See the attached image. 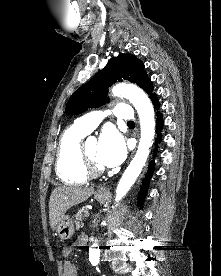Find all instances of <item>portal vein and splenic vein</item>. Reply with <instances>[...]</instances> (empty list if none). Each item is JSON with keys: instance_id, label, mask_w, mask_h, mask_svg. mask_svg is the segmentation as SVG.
<instances>
[{"instance_id": "18ae733b", "label": "portal vein and splenic vein", "mask_w": 221, "mask_h": 276, "mask_svg": "<svg viewBox=\"0 0 221 276\" xmlns=\"http://www.w3.org/2000/svg\"><path fill=\"white\" fill-rule=\"evenodd\" d=\"M89 215H90L89 212H86L85 217H89Z\"/></svg>"}]
</instances>
